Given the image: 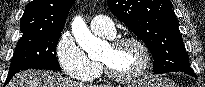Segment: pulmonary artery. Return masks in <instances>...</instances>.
<instances>
[{
  "instance_id": "1",
  "label": "pulmonary artery",
  "mask_w": 205,
  "mask_h": 87,
  "mask_svg": "<svg viewBox=\"0 0 205 87\" xmlns=\"http://www.w3.org/2000/svg\"><path fill=\"white\" fill-rule=\"evenodd\" d=\"M90 28L93 32L106 37H113L115 35L114 22L105 15H97L90 21Z\"/></svg>"
}]
</instances>
